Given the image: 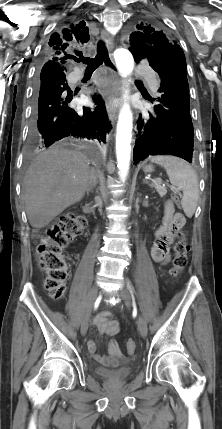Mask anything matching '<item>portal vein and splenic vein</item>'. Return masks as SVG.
<instances>
[{"label": "portal vein and splenic vein", "instance_id": "portal-vein-and-splenic-vein-1", "mask_svg": "<svg viewBox=\"0 0 222 429\" xmlns=\"http://www.w3.org/2000/svg\"><path fill=\"white\" fill-rule=\"evenodd\" d=\"M153 182H154L155 184H161V183H162V180H161L160 178H156V179H154V180H153Z\"/></svg>", "mask_w": 222, "mask_h": 429}]
</instances>
